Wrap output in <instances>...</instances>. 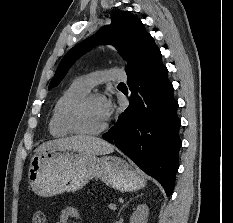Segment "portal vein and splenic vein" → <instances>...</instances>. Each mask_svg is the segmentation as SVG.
Here are the masks:
<instances>
[{"label":"portal vein and splenic vein","mask_w":233,"mask_h":223,"mask_svg":"<svg viewBox=\"0 0 233 223\" xmlns=\"http://www.w3.org/2000/svg\"><path fill=\"white\" fill-rule=\"evenodd\" d=\"M109 207H110V209H116L115 203H110Z\"/></svg>","instance_id":"18ae733b"}]
</instances>
